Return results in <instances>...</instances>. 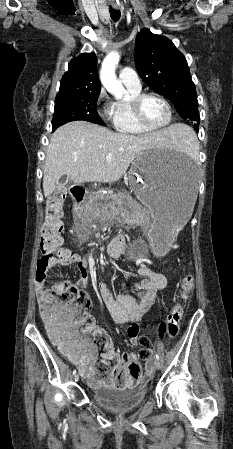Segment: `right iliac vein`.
Instances as JSON below:
<instances>
[{
	"label": "right iliac vein",
	"mask_w": 233,
	"mask_h": 449,
	"mask_svg": "<svg viewBox=\"0 0 233 449\" xmlns=\"http://www.w3.org/2000/svg\"><path fill=\"white\" fill-rule=\"evenodd\" d=\"M74 381H75V382H78V381H79V375H78V374H75V376H74Z\"/></svg>",
	"instance_id": "obj_1"
}]
</instances>
